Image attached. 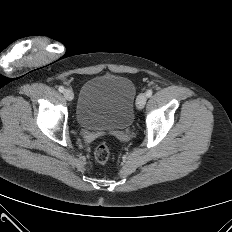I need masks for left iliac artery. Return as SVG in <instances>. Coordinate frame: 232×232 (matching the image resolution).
I'll return each instance as SVG.
<instances>
[{
    "instance_id": "1",
    "label": "left iliac artery",
    "mask_w": 232,
    "mask_h": 232,
    "mask_svg": "<svg viewBox=\"0 0 232 232\" xmlns=\"http://www.w3.org/2000/svg\"><path fill=\"white\" fill-rule=\"evenodd\" d=\"M152 94H153V91H152V90H147V92H146V96H147V97H151Z\"/></svg>"
}]
</instances>
